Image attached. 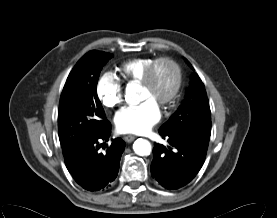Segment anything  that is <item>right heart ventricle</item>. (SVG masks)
I'll return each mask as SVG.
<instances>
[{"label":"right heart ventricle","instance_id":"obj_1","mask_svg":"<svg viewBox=\"0 0 277 218\" xmlns=\"http://www.w3.org/2000/svg\"><path fill=\"white\" fill-rule=\"evenodd\" d=\"M151 62L152 58L149 57L134 58L125 62L122 70L132 81H142Z\"/></svg>","mask_w":277,"mask_h":218}]
</instances>
